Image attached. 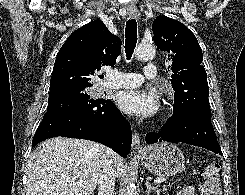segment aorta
<instances>
[{
  "instance_id": "aorta-1",
  "label": "aorta",
  "mask_w": 245,
  "mask_h": 195,
  "mask_svg": "<svg viewBox=\"0 0 245 195\" xmlns=\"http://www.w3.org/2000/svg\"><path fill=\"white\" fill-rule=\"evenodd\" d=\"M135 53L138 60L147 61L155 56L156 50L153 45L141 44L137 47ZM135 194H136L135 186L133 185V183L129 181L125 189V195H135Z\"/></svg>"
}]
</instances>
